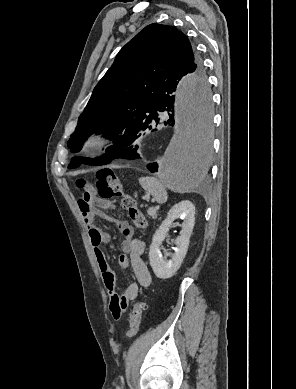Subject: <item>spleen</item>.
Here are the masks:
<instances>
[{
  "label": "spleen",
  "mask_w": 296,
  "mask_h": 389,
  "mask_svg": "<svg viewBox=\"0 0 296 389\" xmlns=\"http://www.w3.org/2000/svg\"><path fill=\"white\" fill-rule=\"evenodd\" d=\"M141 187L149 194H151L154 199L163 204L168 199L167 191L164 185L154 177H142L139 179Z\"/></svg>",
  "instance_id": "1"
}]
</instances>
